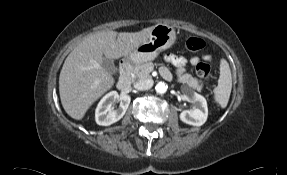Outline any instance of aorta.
I'll return each instance as SVG.
<instances>
[{
	"label": "aorta",
	"mask_w": 287,
	"mask_h": 175,
	"mask_svg": "<svg viewBox=\"0 0 287 175\" xmlns=\"http://www.w3.org/2000/svg\"><path fill=\"white\" fill-rule=\"evenodd\" d=\"M168 86L164 82H159L155 86V90L159 94H164L167 91Z\"/></svg>",
	"instance_id": "762f6f07"
}]
</instances>
